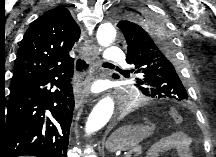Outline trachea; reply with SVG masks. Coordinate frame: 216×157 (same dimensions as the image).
Returning <instances> with one entry per match:
<instances>
[{
  "label": "trachea",
  "instance_id": "obj_1",
  "mask_svg": "<svg viewBox=\"0 0 216 157\" xmlns=\"http://www.w3.org/2000/svg\"><path fill=\"white\" fill-rule=\"evenodd\" d=\"M80 63H83V61H82V60H78V61H77V64H80Z\"/></svg>",
  "mask_w": 216,
  "mask_h": 157
}]
</instances>
